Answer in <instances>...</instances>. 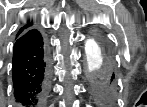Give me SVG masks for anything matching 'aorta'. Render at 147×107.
I'll return each mask as SVG.
<instances>
[{"label":"aorta","instance_id":"aorta-1","mask_svg":"<svg viewBox=\"0 0 147 107\" xmlns=\"http://www.w3.org/2000/svg\"><path fill=\"white\" fill-rule=\"evenodd\" d=\"M87 61L89 70L94 77L107 76L111 73L107 54L92 41L87 43Z\"/></svg>","mask_w":147,"mask_h":107}]
</instances>
